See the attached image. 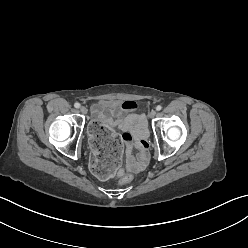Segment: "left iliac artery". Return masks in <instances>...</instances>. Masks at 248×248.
Instances as JSON below:
<instances>
[{
  "mask_svg": "<svg viewBox=\"0 0 248 248\" xmlns=\"http://www.w3.org/2000/svg\"><path fill=\"white\" fill-rule=\"evenodd\" d=\"M162 109V106L161 105H158L157 107H156V110L157 111H160Z\"/></svg>",
  "mask_w": 248,
  "mask_h": 248,
  "instance_id": "1",
  "label": "left iliac artery"
}]
</instances>
